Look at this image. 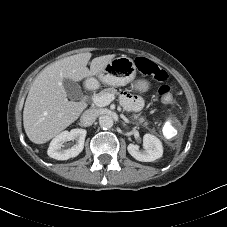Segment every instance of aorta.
<instances>
[{"mask_svg": "<svg viewBox=\"0 0 227 227\" xmlns=\"http://www.w3.org/2000/svg\"><path fill=\"white\" fill-rule=\"evenodd\" d=\"M99 125L103 129H110L113 126V119L109 115H103L99 118Z\"/></svg>", "mask_w": 227, "mask_h": 227, "instance_id": "1", "label": "aorta"}]
</instances>
